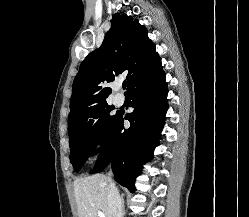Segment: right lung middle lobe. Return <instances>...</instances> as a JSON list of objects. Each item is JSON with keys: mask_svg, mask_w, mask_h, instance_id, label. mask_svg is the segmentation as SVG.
I'll return each mask as SVG.
<instances>
[{"mask_svg": "<svg viewBox=\"0 0 249 217\" xmlns=\"http://www.w3.org/2000/svg\"><path fill=\"white\" fill-rule=\"evenodd\" d=\"M112 110L114 107L105 102L68 119L70 161L75 171L95 154L98 142L103 146L120 115L119 112L112 114Z\"/></svg>", "mask_w": 249, "mask_h": 217, "instance_id": "dd1d6c3e", "label": "right lung middle lobe"}]
</instances>
